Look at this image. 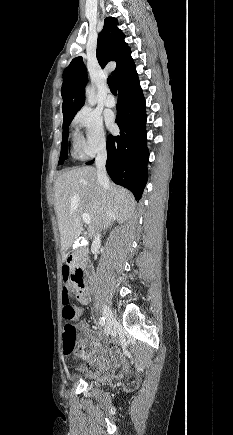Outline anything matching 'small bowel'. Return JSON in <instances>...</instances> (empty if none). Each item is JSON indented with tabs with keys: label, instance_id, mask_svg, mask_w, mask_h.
<instances>
[{
	"label": "small bowel",
	"instance_id": "small-bowel-1",
	"mask_svg": "<svg viewBox=\"0 0 233 435\" xmlns=\"http://www.w3.org/2000/svg\"><path fill=\"white\" fill-rule=\"evenodd\" d=\"M66 266L63 267V269ZM63 298H70L69 286H64L62 290ZM79 335L81 342L79 349L81 351L80 356L83 358L90 357L94 354V351L99 347L96 340V332L92 331L88 325L81 321L79 323ZM119 361V357L114 350H109L105 353L103 358H96L89 362L87 365L88 373L96 375L101 379H106L108 375L114 372V366Z\"/></svg>",
	"mask_w": 233,
	"mask_h": 435
}]
</instances>
